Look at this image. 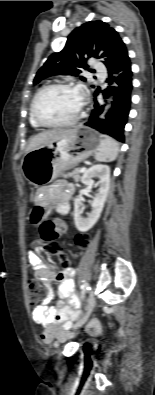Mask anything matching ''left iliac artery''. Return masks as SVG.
Wrapping results in <instances>:
<instances>
[{
    "label": "left iliac artery",
    "instance_id": "left-iliac-artery-1",
    "mask_svg": "<svg viewBox=\"0 0 155 395\" xmlns=\"http://www.w3.org/2000/svg\"><path fill=\"white\" fill-rule=\"evenodd\" d=\"M81 289H82V298L85 297V293L86 291L90 290L89 284L85 281H83V284L81 285Z\"/></svg>",
    "mask_w": 155,
    "mask_h": 395
}]
</instances>
